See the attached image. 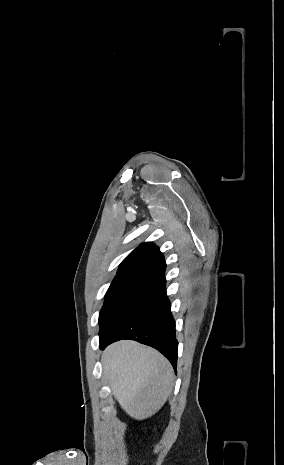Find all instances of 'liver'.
<instances>
[{
  "mask_svg": "<svg viewBox=\"0 0 284 465\" xmlns=\"http://www.w3.org/2000/svg\"><path fill=\"white\" fill-rule=\"evenodd\" d=\"M103 373L121 409L137 421L155 415L173 387L167 359L136 341H119L102 355Z\"/></svg>",
  "mask_w": 284,
  "mask_h": 465,
  "instance_id": "liver-1",
  "label": "liver"
}]
</instances>
